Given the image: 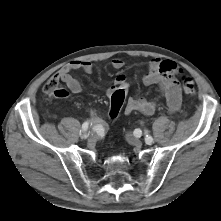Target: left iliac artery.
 Instances as JSON below:
<instances>
[{"label": "left iliac artery", "mask_w": 221, "mask_h": 221, "mask_svg": "<svg viewBox=\"0 0 221 221\" xmlns=\"http://www.w3.org/2000/svg\"><path fill=\"white\" fill-rule=\"evenodd\" d=\"M135 135L137 136V137H139L140 135H141V130H135ZM152 137L150 136V135H146L145 136V142L147 143V144H150L151 142H152Z\"/></svg>", "instance_id": "1"}]
</instances>
